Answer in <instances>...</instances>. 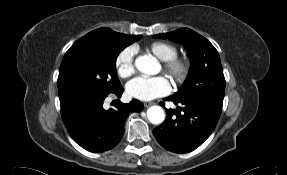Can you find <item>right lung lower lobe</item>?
Masks as SVG:
<instances>
[{
	"instance_id": "right-lung-lower-lobe-1",
	"label": "right lung lower lobe",
	"mask_w": 287,
	"mask_h": 175,
	"mask_svg": "<svg viewBox=\"0 0 287 175\" xmlns=\"http://www.w3.org/2000/svg\"><path fill=\"white\" fill-rule=\"evenodd\" d=\"M123 88L114 93L120 97ZM107 96L72 94L60 99L61 116L73 140L86 150L99 153L114 148L124 134L125 119L130 112H140L143 104L132 100L105 110Z\"/></svg>"
}]
</instances>
